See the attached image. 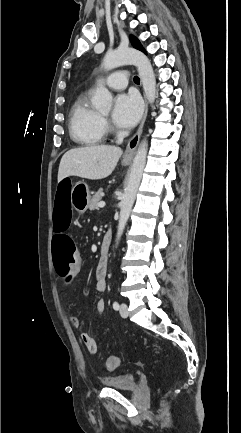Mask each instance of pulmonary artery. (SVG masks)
I'll list each match as a JSON object with an SVG mask.
<instances>
[{
  "label": "pulmonary artery",
  "instance_id": "e3ab8cb5",
  "mask_svg": "<svg viewBox=\"0 0 241 433\" xmlns=\"http://www.w3.org/2000/svg\"><path fill=\"white\" fill-rule=\"evenodd\" d=\"M105 82L114 90H122L127 86L128 76L124 71H118L109 76Z\"/></svg>",
  "mask_w": 241,
  "mask_h": 433
}]
</instances>
